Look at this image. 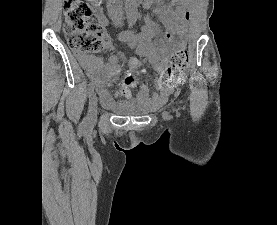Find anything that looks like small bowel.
<instances>
[{
    "instance_id": "small-bowel-1",
    "label": "small bowel",
    "mask_w": 277,
    "mask_h": 225,
    "mask_svg": "<svg viewBox=\"0 0 277 225\" xmlns=\"http://www.w3.org/2000/svg\"><path fill=\"white\" fill-rule=\"evenodd\" d=\"M154 4L159 15V22L145 17V25L141 33L137 34L134 31H124L119 34L118 39L121 42H126L139 55L150 58L154 70L159 72L165 65L169 46L175 40L176 19L180 17L183 20H188L190 14L182 5L177 6L176 11L171 10L163 4V0H145L143 6L144 9H149ZM93 8L99 23L103 27H106L108 25V19L103 14L100 6L94 3ZM100 36L104 40L106 48L113 50L114 46L109 35L105 31H102L100 32ZM77 58L90 77L92 86L100 93L106 94L107 86L115 80L120 72L118 56H110L106 63L100 57L88 54H77ZM174 90L175 86L173 84L163 82L150 96L149 89L146 86H142L140 99L146 100L149 98L152 103L160 104L165 102L168 95Z\"/></svg>"
}]
</instances>
